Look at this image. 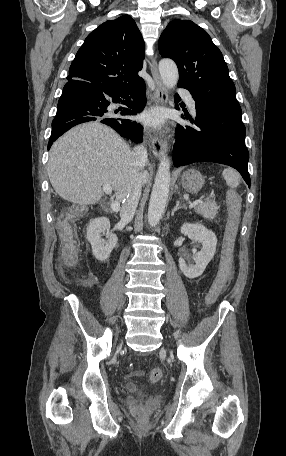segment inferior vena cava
Returning <instances> with one entry per match:
<instances>
[{
    "instance_id": "602c4592",
    "label": "inferior vena cava",
    "mask_w": 286,
    "mask_h": 456,
    "mask_svg": "<svg viewBox=\"0 0 286 456\" xmlns=\"http://www.w3.org/2000/svg\"><path fill=\"white\" fill-rule=\"evenodd\" d=\"M135 152H136L137 160H138L137 161L138 171H140L147 160V151L143 146H138V147H136ZM141 185H142L141 178L139 175H137L134 178V180L131 184V187L129 188V190L127 191V193L123 199V203H122V207H121V211H120V217H121V221H123L125 223L130 222L134 217V214H135V211H136V208H137L140 196H141Z\"/></svg>"
}]
</instances>
